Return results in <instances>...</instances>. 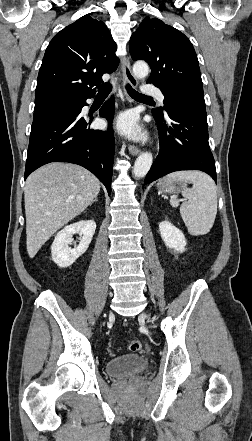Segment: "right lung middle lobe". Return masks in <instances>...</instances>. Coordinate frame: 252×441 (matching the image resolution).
I'll return each mask as SVG.
<instances>
[{"label": "right lung middle lobe", "mask_w": 252, "mask_h": 441, "mask_svg": "<svg viewBox=\"0 0 252 441\" xmlns=\"http://www.w3.org/2000/svg\"><path fill=\"white\" fill-rule=\"evenodd\" d=\"M55 106H58V103L56 101H54L53 99L44 100V101L35 103L34 112L41 110V109H44V108L55 107Z\"/></svg>", "instance_id": "right-lung-middle-lobe-1"}]
</instances>
